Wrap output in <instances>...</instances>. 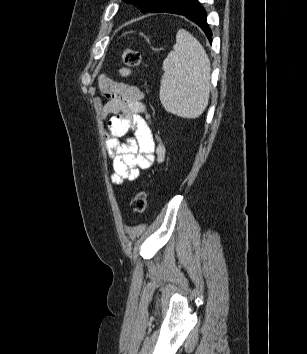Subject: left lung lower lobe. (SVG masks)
<instances>
[{
	"instance_id": "0a47b994",
	"label": "left lung lower lobe",
	"mask_w": 307,
	"mask_h": 354,
	"mask_svg": "<svg viewBox=\"0 0 307 354\" xmlns=\"http://www.w3.org/2000/svg\"><path fill=\"white\" fill-rule=\"evenodd\" d=\"M157 12H167L185 16L187 19L196 23L203 30L210 43H212V31L207 24V14L198 0H169L166 5Z\"/></svg>"
}]
</instances>
